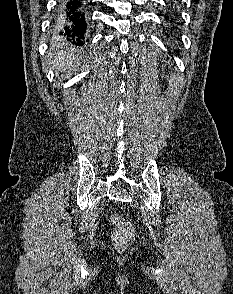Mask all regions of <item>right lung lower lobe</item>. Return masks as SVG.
I'll return each instance as SVG.
<instances>
[{
    "label": "right lung lower lobe",
    "mask_w": 233,
    "mask_h": 294,
    "mask_svg": "<svg viewBox=\"0 0 233 294\" xmlns=\"http://www.w3.org/2000/svg\"><path fill=\"white\" fill-rule=\"evenodd\" d=\"M86 22L83 0H62L55 20V31L75 45L84 44Z\"/></svg>",
    "instance_id": "1"
}]
</instances>
